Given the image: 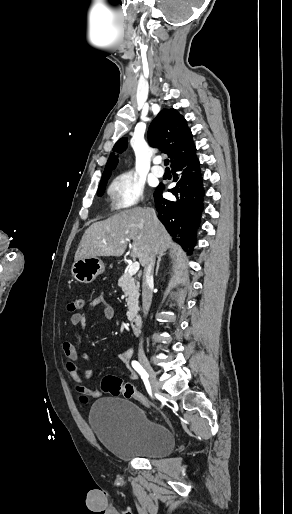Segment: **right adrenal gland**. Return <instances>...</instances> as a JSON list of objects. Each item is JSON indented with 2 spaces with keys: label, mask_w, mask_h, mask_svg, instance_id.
Returning a JSON list of instances; mask_svg holds the SVG:
<instances>
[{
  "label": "right adrenal gland",
  "mask_w": 292,
  "mask_h": 514,
  "mask_svg": "<svg viewBox=\"0 0 292 514\" xmlns=\"http://www.w3.org/2000/svg\"><path fill=\"white\" fill-rule=\"evenodd\" d=\"M161 258H162V256H158V260H157V268H156L155 276H158V270H159V266H160Z\"/></svg>",
  "instance_id": "2a0ac1e0"
}]
</instances>
